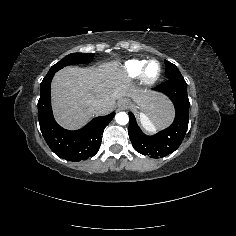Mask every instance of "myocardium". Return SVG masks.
<instances>
[{"label": "myocardium", "instance_id": "1", "mask_svg": "<svg viewBox=\"0 0 236 236\" xmlns=\"http://www.w3.org/2000/svg\"><path fill=\"white\" fill-rule=\"evenodd\" d=\"M152 62H157V63H159V65H160V73H159V75L156 76L155 78H150V77H148V74H147L148 66H149L150 63H152ZM162 75H163V66H162V63H161L159 60H157V59H150V60H148V61L145 63V65H144V67H143V69H142V71H141V74H140V79H141V82H142L144 85L151 86V85L156 84V83L161 79Z\"/></svg>", "mask_w": 236, "mask_h": 236}]
</instances>
